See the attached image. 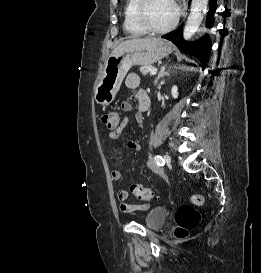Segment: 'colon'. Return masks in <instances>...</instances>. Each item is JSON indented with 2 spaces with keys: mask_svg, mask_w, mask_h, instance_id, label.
Masks as SVG:
<instances>
[{
  "mask_svg": "<svg viewBox=\"0 0 261 273\" xmlns=\"http://www.w3.org/2000/svg\"><path fill=\"white\" fill-rule=\"evenodd\" d=\"M102 122L110 129L117 128L120 122L119 113L115 111L104 113L102 115ZM130 190L136 198L141 200L150 201L156 198V193L153 190L141 184H132ZM191 202L195 205H201L204 199L201 195L195 194L191 196ZM175 219L178 225L176 235L178 237H184L190 230L197 226L201 216L193 206L186 204L177 210Z\"/></svg>",
  "mask_w": 261,
  "mask_h": 273,
  "instance_id": "colon-1",
  "label": "colon"
}]
</instances>
